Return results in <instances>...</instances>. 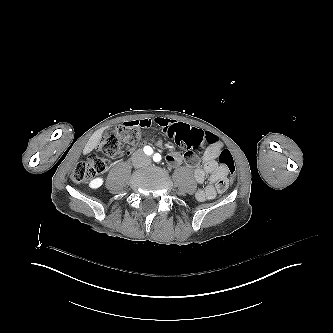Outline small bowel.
I'll use <instances>...</instances> for the list:
<instances>
[{"label": "small bowel", "mask_w": 333, "mask_h": 333, "mask_svg": "<svg viewBox=\"0 0 333 333\" xmlns=\"http://www.w3.org/2000/svg\"><path fill=\"white\" fill-rule=\"evenodd\" d=\"M133 123L135 126L142 128L160 127L166 131H173L180 127H185L183 124L165 117H147L136 120ZM193 130V129H190ZM197 131V130H195ZM199 132V131H198ZM201 133V132H200ZM202 134V133H201ZM204 135V134H203ZM155 144H160V139H155ZM141 146H148V141H141ZM222 143L217 141L210 145L202 156V165L194 171V180L198 184H202L208 178V183L196 191L195 198L200 201L212 200L219 192L221 182L226 180L228 170L225 166L217 162ZM134 147H129L126 153L129 155L133 152ZM165 161L171 166H181L186 162V155L180 151H170L165 155Z\"/></svg>", "instance_id": "obj_1"}]
</instances>
